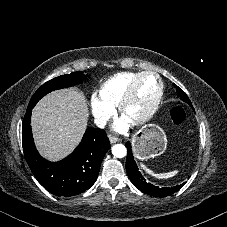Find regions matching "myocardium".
<instances>
[{"instance_id":"myocardium-1","label":"myocardium","mask_w":227,"mask_h":227,"mask_svg":"<svg viewBox=\"0 0 227 227\" xmlns=\"http://www.w3.org/2000/svg\"><path fill=\"white\" fill-rule=\"evenodd\" d=\"M146 76H152L156 79L158 83V89L156 95L149 106L145 109L143 113L138 116L131 117L129 119L126 118V111L129 105L134 101L137 93L138 86L141 80ZM164 93V85L160 75L154 71H143L140 72L130 83L128 89L126 90L124 96L118 103V110L120 115L126 118L131 124L139 126L146 123L156 112L159 107Z\"/></svg>"}]
</instances>
